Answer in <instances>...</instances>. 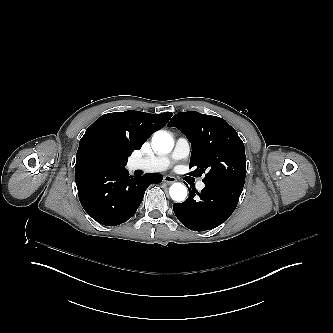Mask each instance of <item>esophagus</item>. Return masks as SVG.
Returning a JSON list of instances; mask_svg holds the SVG:
<instances>
[{
	"mask_svg": "<svg viewBox=\"0 0 333 333\" xmlns=\"http://www.w3.org/2000/svg\"><path fill=\"white\" fill-rule=\"evenodd\" d=\"M163 181L166 182V183L171 184V183H174L176 181V178L173 177V176H170V175H166V176H164Z\"/></svg>",
	"mask_w": 333,
	"mask_h": 333,
	"instance_id": "obj_1",
	"label": "esophagus"
}]
</instances>
